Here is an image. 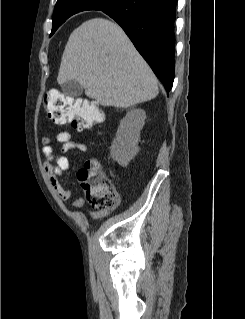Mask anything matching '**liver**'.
Instances as JSON below:
<instances>
[{"mask_svg":"<svg viewBox=\"0 0 245 319\" xmlns=\"http://www.w3.org/2000/svg\"><path fill=\"white\" fill-rule=\"evenodd\" d=\"M76 80L103 106L128 108L158 95L157 78L116 23L92 18L70 35L58 84Z\"/></svg>","mask_w":245,"mask_h":319,"instance_id":"obj_1","label":"liver"}]
</instances>
